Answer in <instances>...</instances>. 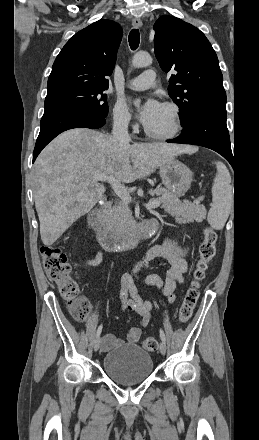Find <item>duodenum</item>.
Returning <instances> with one entry per match:
<instances>
[{"mask_svg":"<svg viewBox=\"0 0 259 440\" xmlns=\"http://www.w3.org/2000/svg\"><path fill=\"white\" fill-rule=\"evenodd\" d=\"M110 207L111 202L105 201L93 210L87 218L88 228L95 235L98 242L107 248L115 249L136 246L152 237L159 228V223L156 219H149L130 230L111 232L105 224L106 214Z\"/></svg>","mask_w":259,"mask_h":440,"instance_id":"1","label":"duodenum"}]
</instances>
